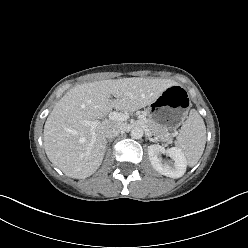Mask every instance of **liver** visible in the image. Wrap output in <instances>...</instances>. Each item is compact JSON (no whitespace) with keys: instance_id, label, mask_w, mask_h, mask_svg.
I'll list each match as a JSON object with an SVG mask.
<instances>
[{"instance_id":"obj_1","label":"liver","mask_w":248,"mask_h":248,"mask_svg":"<svg viewBox=\"0 0 248 248\" xmlns=\"http://www.w3.org/2000/svg\"><path fill=\"white\" fill-rule=\"evenodd\" d=\"M177 85L170 79L121 78L77 85L55 105L44 126L48 159L66 176L84 179L101 165L105 129L115 121H103L93 131L81 121H94L117 110L136 111L154 102L164 90ZM113 95L115 98L110 99Z\"/></svg>"}]
</instances>
